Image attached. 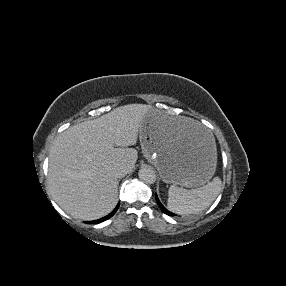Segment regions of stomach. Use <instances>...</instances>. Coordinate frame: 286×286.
<instances>
[{
	"mask_svg": "<svg viewBox=\"0 0 286 286\" xmlns=\"http://www.w3.org/2000/svg\"><path fill=\"white\" fill-rule=\"evenodd\" d=\"M144 156L165 183L194 188L216 171L217 139L203 123L165 112H149L139 128Z\"/></svg>",
	"mask_w": 286,
	"mask_h": 286,
	"instance_id": "obj_1",
	"label": "stomach"
}]
</instances>
